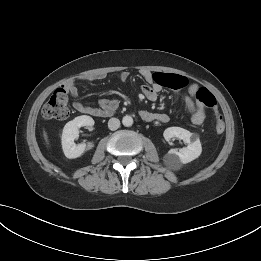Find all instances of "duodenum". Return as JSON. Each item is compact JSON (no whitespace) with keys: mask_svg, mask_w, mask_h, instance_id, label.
Instances as JSON below:
<instances>
[{"mask_svg":"<svg viewBox=\"0 0 261 261\" xmlns=\"http://www.w3.org/2000/svg\"><path fill=\"white\" fill-rule=\"evenodd\" d=\"M105 113H103V112H99V113H97L96 115L97 116H102V115H104Z\"/></svg>","mask_w":261,"mask_h":261,"instance_id":"1","label":"duodenum"}]
</instances>
